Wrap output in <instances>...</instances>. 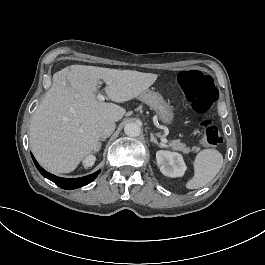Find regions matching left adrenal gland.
<instances>
[{
	"label": "left adrenal gland",
	"mask_w": 265,
	"mask_h": 265,
	"mask_svg": "<svg viewBox=\"0 0 265 265\" xmlns=\"http://www.w3.org/2000/svg\"><path fill=\"white\" fill-rule=\"evenodd\" d=\"M150 137H151V140H150L151 143H154V144H156L157 146L163 148V146H161V145L157 142V140L154 138V135H153L152 133L150 134Z\"/></svg>",
	"instance_id": "1"
}]
</instances>
